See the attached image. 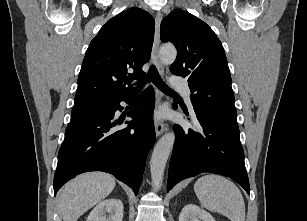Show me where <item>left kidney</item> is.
Masks as SVG:
<instances>
[{
    "instance_id": "left-kidney-1",
    "label": "left kidney",
    "mask_w": 307,
    "mask_h": 221,
    "mask_svg": "<svg viewBox=\"0 0 307 221\" xmlns=\"http://www.w3.org/2000/svg\"><path fill=\"white\" fill-rule=\"evenodd\" d=\"M179 221H216L213 216L194 204L186 205L180 215Z\"/></svg>"
}]
</instances>
